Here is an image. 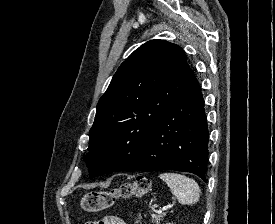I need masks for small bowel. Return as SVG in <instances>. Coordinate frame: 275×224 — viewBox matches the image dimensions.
<instances>
[{
	"label": "small bowel",
	"instance_id": "c3829d8e",
	"mask_svg": "<svg viewBox=\"0 0 275 224\" xmlns=\"http://www.w3.org/2000/svg\"><path fill=\"white\" fill-rule=\"evenodd\" d=\"M86 224H126V223L117 216L108 215L100 220L90 221Z\"/></svg>",
	"mask_w": 275,
	"mask_h": 224
}]
</instances>
